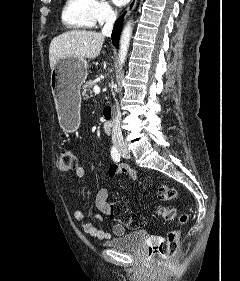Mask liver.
<instances>
[{
	"instance_id": "6515ba94",
	"label": "liver",
	"mask_w": 240,
	"mask_h": 281,
	"mask_svg": "<svg viewBox=\"0 0 240 281\" xmlns=\"http://www.w3.org/2000/svg\"><path fill=\"white\" fill-rule=\"evenodd\" d=\"M104 36L95 31L71 30L53 38L49 47V62L55 69L61 59L96 58L102 49Z\"/></svg>"
}]
</instances>
